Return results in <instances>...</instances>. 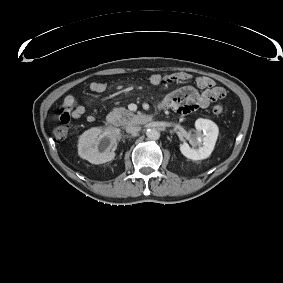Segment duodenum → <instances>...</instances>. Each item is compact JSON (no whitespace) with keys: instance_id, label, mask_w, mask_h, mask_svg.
<instances>
[{"instance_id":"410a0bca","label":"duodenum","mask_w":283,"mask_h":283,"mask_svg":"<svg viewBox=\"0 0 283 283\" xmlns=\"http://www.w3.org/2000/svg\"><path fill=\"white\" fill-rule=\"evenodd\" d=\"M107 124L110 127H114L116 125V118L113 117L112 115H108L106 118Z\"/></svg>"}]
</instances>
